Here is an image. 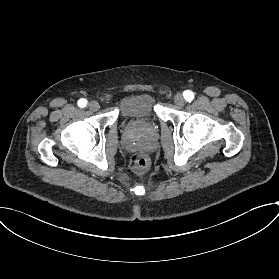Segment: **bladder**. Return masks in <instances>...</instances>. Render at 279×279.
Instances as JSON below:
<instances>
[{"label":"bladder","mask_w":279,"mask_h":279,"mask_svg":"<svg viewBox=\"0 0 279 279\" xmlns=\"http://www.w3.org/2000/svg\"><path fill=\"white\" fill-rule=\"evenodd\" d=\"M156 100L153 94L139 92L125 98L118 107V119L126 122L132 116L148 117L155 119Z\"/></svg>","instance_id":"bladder-1"}]
</instances>
